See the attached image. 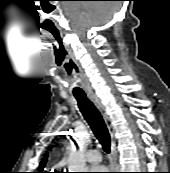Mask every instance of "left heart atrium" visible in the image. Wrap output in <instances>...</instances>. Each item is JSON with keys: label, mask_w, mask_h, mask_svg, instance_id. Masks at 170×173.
Instances as JSON below:
<instances>
[{"label": "left heart atrium", "mask_w": 170, "mask_h": 173, "mask_svg": "<svg viewBox=\"0 0 170 173\" xmlns=\"http://www.w3.org/2000/svg\"><path fill=\"white\" fill-rule=\"evenodd\" d=\"M90 172L91 173H105L106 168L103 166H94V167H90Z\"/></svg>", "instance_id": "39dd6f15"}]
</instances>
